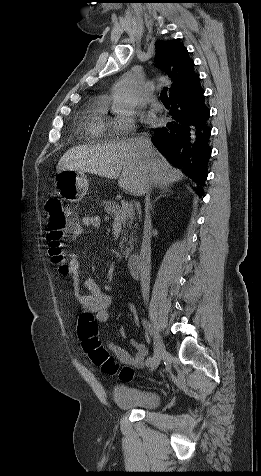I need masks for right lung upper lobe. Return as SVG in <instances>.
Here are the masks:
<instances>
[{"label":"right lung upper lobe","mask_w":261,"mask_h":476,"mask_svg":"<svg viewBox=\"0 0 261 476\" xmlns=\"http://www.w3.org/2000/svg\"><path fill=\"white\" fill-rule=\"evenodd\" d=\"M155 45L158 66L173 81L169 96L172 97L189 88L198 75L194 71V63L183 44L175 39L157 41Z\"/></svg>","instance_id":"right-lung-upper-lobe-1"}]
</instances>
